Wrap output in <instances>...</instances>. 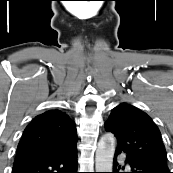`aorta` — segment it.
Masks as SVG:
<instances>
[{
  "mask_svg": "<svg viewBox=\"0 0 173 173\" xmlns=\"http://www.w3.org/2000/svg\"><path fill=\"white\" fill-rule=\"evenodd\" d=\"M115 144L112 133H106L100 138L95 156L96 172H112Z\"/></svg>",
  "mask_w": 173,
  "mask_h": 173,
  "instance_id": "1",
  "label": "aorta"
}]
</instances>
